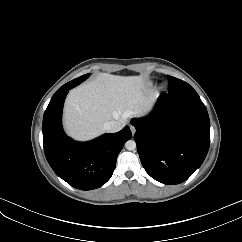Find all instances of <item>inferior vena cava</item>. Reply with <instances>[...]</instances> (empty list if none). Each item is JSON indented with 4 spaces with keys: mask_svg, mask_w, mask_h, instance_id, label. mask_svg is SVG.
Returning <instances> with one entry per match:
<instances>
[{
    "mask_svg": "<svg viewBox=\"0 0 242 242\" xmlns=\"http://www.w3.org/2000/svg\"><path fill=\"white\" fill-rule=\"evenodd\" d=\"M124 124L119 121H110L104 125L106 131L114 133L118 132L123 128Z\"/></svg>",
    "mask_w": 242,
    "mask_h": 242,
    "instance_id": "1",
    "label": "inferior vena cava"
}]
</instances>
